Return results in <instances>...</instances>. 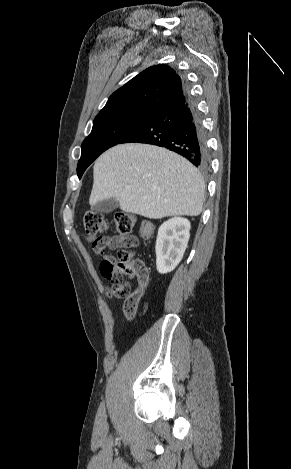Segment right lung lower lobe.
I'll return each instance as SVG.
<instances>
[{
    "instance_id": "1",
    "label": "right lung lower lobe",
    "mask_w": 291,
    "mask_h": 469,
    "mask_svg": "<svg viewBox=\"0 0 291 469\" xmlns=\"http://www.w3.org/2000/svg\"><path fill=\"white\" fill-rule=\"evenodd\" d=\"M184 92L151 114L120 143L139 142L165 147L200 169L209 165L206 134L196 104L183 80Z\"/></svg>"
}]
</instances>
